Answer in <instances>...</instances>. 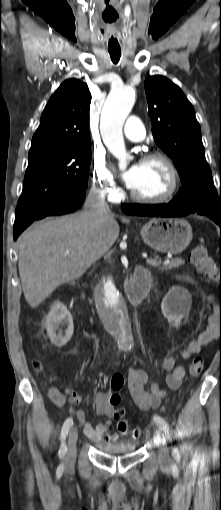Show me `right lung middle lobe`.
Listing matches in <instances>:
<instances>
[{
	"instance_id": "1",
	"label": "right lung middle lobe",
	"mask_w": 221,
	"mask_h": 510,
	"mask_svg": "<svg viewBox=\"0 0 221 510\" xmlns=\"http://www.w3.org/2000/svg\"><path fill=\"white\" fill-rule=\"evenodd\" d=\"M91 145L29 156L16 214L31 217L88 187Z\"/></svg>"
}]
</instances>
